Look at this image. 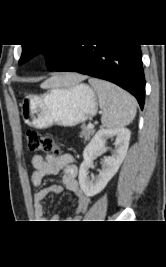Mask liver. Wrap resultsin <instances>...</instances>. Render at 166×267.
Instances as JSON below:
<instances>
[{"label":"liver","mask_w":166,"mask_h":267,"mask_svg":"<svg viewBox=\"0 0 166 267\" xmlns=\"http://www.w3.org/2000/svg\"><path fill=\"white\" fill-rule=\"evenodd\" d=\"M85 79L86 76L77 73H65L51 77L50 79L46 80L41 87L47 89L52 87L71 86L78 84Z\"/></svg>","instance_id":"obj_1"}]
</instances>
